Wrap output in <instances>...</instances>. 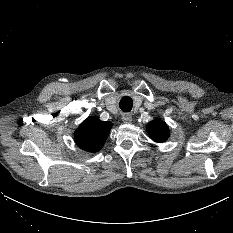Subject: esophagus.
Instances as JSON below:
<instances>
[{
	"mask_svg": "<svg viewBox=\"0 0 233 233\" xmlns=\"http://www.w3.org/2000/svg\"><path fill=\"white\" fill-rule=\"evenodd\" d=\"M132 120H133L132 114H130V113H124V114L122 115V121H123L124 123H131Z\"/></svg>",
	"mask_w": 233,
	"mask_h": 233,
	"instance_id": "esophagus-1",
	"label": "esophagus"
}]
</instances>
